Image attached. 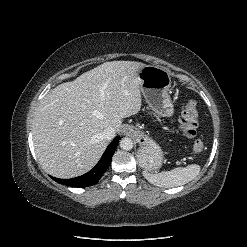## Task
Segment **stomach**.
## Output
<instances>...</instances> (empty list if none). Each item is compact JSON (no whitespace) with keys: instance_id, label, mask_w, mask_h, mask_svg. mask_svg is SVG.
I'll return each instance as SVG.
<instances>
[{"instance_id":"obj_1","label":"stomach","mask_w":247,"mask_h":247,"mask_svg":"<svg viewBox=\"0 0 247 247\" xmlns=\"http://www.w3.org/2000/svg\"><path fill=\"white\" fill-rule=\"evenodd\" d=\"M138 80L148 106L161 117L172 116L174 106L169 95L170 72L159 66L145 65L138 72ZM132 128L133 135L140 145L137 154L140 166L148 172L157 171L164 161L162 149L139 128Z\"/></svg>"}]
</instances>
